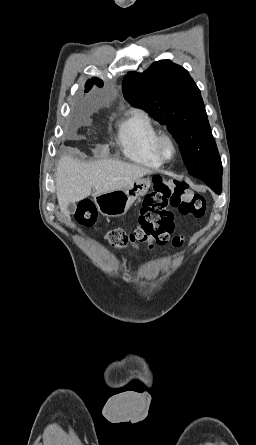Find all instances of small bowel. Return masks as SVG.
I'll list each match as a JSON object with an SVG mask.
<instances>
[{
  "instance_id": "c3829d8e",
  "label": "small bowel",
  "mask_w": 256,
  "mask_h": 445,
  "mask_svg": "<svg viewBox=\"0 0 256 445\" xmlns=\"http://www.w3.org/2000/svg\"><path fill=\"white\" fill-rule=\"evenodd\" d=\"M182 241H183V239L181 236H175L172 240V245L174 247H179V246H181Z\"/></svg>"
}]
</instances>
